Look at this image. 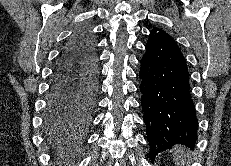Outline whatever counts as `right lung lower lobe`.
Segmentation results:
<instances>
[{
    "label": "right lung lower lobe",
    "mask_w": 231,
    "mask_h": 166,
    "mask_svg": "<svg viewBox=\"0 0 231 166\" xmlns=\"http://www.w3.org/2000/svg\"><path fill=\"white\" fill-rule=\"evenodd\" d=\"M95 40L76 32L61 52L46 100L44 127L57 137L82 132L90 122L97 94Z\"/></svg>",
    "instance_id": "right-lung-lower-lobe-1"
}]
</instances>
